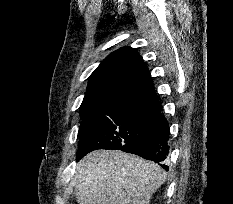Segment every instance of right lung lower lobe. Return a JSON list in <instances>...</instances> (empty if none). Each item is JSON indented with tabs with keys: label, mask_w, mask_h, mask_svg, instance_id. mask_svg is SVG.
<instances>
[{
	"label": "right lung lower lobe",
	"mask_w": 233,
	"mask_h": 204,
	"mask_svg": "<svg viewBox=\"0 0 233 204\" xmlns=\"http://www.w3.org/2000/svg\"><path fill=\"white\" fill-rule=\"evenodd\" d=\"M153 105L159 110H161V103L156 98L152 101ZM169 139V129L168 126L160 133L142 138L140 140L134 141L132 143L123 145L119 147V150L139 155L148 160L154 161L156 163L162 162L166 159V156L169 153V146L167 141ZM96 149H106L91 147L89 145H82L79 147L77 152V159L82 158L87 153L96 150ZM164 169H167L165 165H162Z\"/></svg>",
	"instance_id": "obj_1"
}]
</instances>
